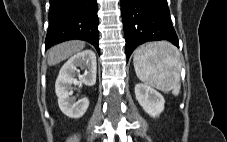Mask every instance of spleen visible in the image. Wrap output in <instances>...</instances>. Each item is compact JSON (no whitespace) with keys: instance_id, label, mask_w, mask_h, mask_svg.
Wrapping results in <instances>:
<instances>
[{"instance_id":"obj_1","label":"spleen","mask_w":227,"mask_h":142,"mask_svg":"<svg viewBox=\"0 0 227 142\" xmlns=\"http://www.w3.org/2000/svg\"><path fill=\"white\" fill-rule=\"evenodd\" d=\"M137 77L163 92L178 95L181 88V56L169 42H150L135 50L133 58Z\"/></svg>"}]
</instances>
